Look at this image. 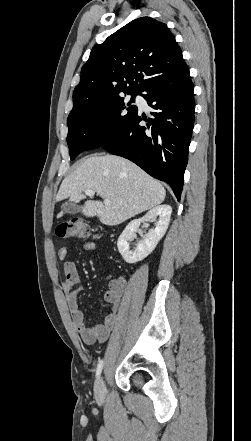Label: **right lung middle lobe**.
Masks as SVG:
<instances>
[{
  "label": "right lung middle lobe",
  "mask_w": 251,
  "mask_h": 441,
  "mask_svg": "<svg viewBox=\"0 0 251 441\" xmlns=\"http://www.w3.org/2000/svg\"><path fill=\"white\" fill-rule=\"evenodd\" d=\"M132 94L129 102L122 96L91 99L73 104L67 124V143L73 160L82 151L96 149L117 135L138 111Z\"/></svg>",
  "instance_id": "dd1d6c3e"
}]
</instances>
